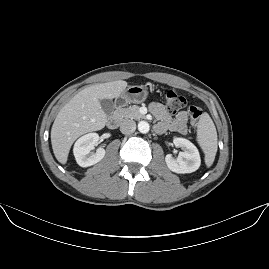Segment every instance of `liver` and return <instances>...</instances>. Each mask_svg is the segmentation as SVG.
<instances>
[{
  "instance_id": "1",
  "label": "liver",
  "mask_w": 269,
  "mask_h": 269,
  "mask_svg": "<svg viewBox=\"0 0 269 269\" xmlns=\"http://www.w3.org/2000/svg\"><path fill=\"white\" fill-rule=\"evenodd\" d=\"M127 87L123 80L92 85L77 93L58 113L51 129L56 159L65 164L73 142L81 135L105 127L107 116L100 100L119 97Z\"/></svg>"
}]
</instances>
